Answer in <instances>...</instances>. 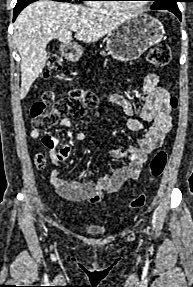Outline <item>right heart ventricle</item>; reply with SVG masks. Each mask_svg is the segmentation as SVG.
Here are the masks:
<instances>
[{
    "label": "right heart ventricle",
    "instance_id": "e07e8e85",
    "mask_svg": "<svg viewBox=\"0 0 193 287\" xmlns=\"http://www.w3.org/2000/svg\"><path fill=\"white\" fill-rule=\"evenodd\" d=\"M98 8H104V9H114V10H120L122 9L119 5L117 4H109V3H103L97 5Z\"/></svg>",
    "mask_w": 193,
    "mask_h": 287
}]
</instances>
